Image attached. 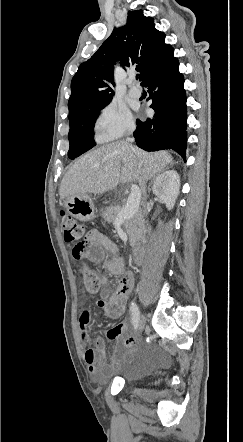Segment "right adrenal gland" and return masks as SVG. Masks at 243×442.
I'll use <instances>...</instances> for the list:
<instances>
[{"instance_id": "2a0ac1e0", "label": "right adrenal gland", "mask_w": 243, "mask_h": 442, "mask_svg": "<svg viewBox=\"0 0 243 442\" xmlns=\"http://www.w3.org/2000/svg\"><path fill=\"white\" fill-rule=\"evenodd\" d=\"M170 166H173V163L170 164ZM153 182H155V176L150 180V183H149V186H148V191H150V186H151V184H152Z\"/></svg>"}]
</instances>
